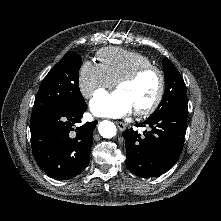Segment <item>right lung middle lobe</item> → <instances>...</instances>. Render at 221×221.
I'll use <instances>...</instances> for the list:
<instances>
[{"mask_svg":"<svg viewBox=\"0 0 221 221\" xmlns=\"http://www.w3.org/2000/svg\"><path fill=\"white\" fill-rule=\"evenodd\" d=\"M81 62L78 54L68 52L49 71L35 97L30 127L53 111L84 105L78 78Z\"/></svg>","mask_w":221,"mask_h":221,"instance_id":"1","label":"right lung middle lobe"}]
</instances>
